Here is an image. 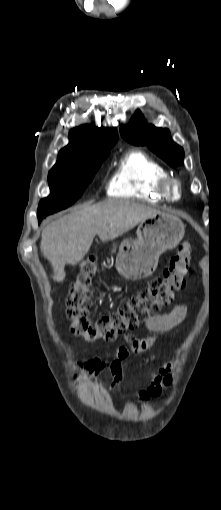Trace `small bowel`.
<instances>
[{"mask_svg": "<svg viewBox=\"0 0 221 510\" xmlns=\"http://www.w3.org/2000/svg\"><path fill=\"white\" fill-rule=\"evenodd\" d=\"M187 314V307L184 304H177L173 310L167 314L153 315L145 320V327L153 331H164L171 329L182 323ZM154 337L140 338L134 335L125 337V344L115 350V356L110 360H103L100 357L83 360L75 363L74 367L78 372L76 377L77 384L88 383L91 378L102 372L110 370L113 380L111 383V392L117 391L124 381L125 370L130 356L134 353H149L155 343ZM152 360V356L143 358L139 366H145ZM170 365L165 363L159 369L153 371L150 385L139 393V399L142 402L161 394L164 387L171 383L169 373Z\"/></svg>", "mask_w": 221, "mask_h": 510, "instance_id": "small-bowel-1", "label": "small bowel"}]
</instances>
